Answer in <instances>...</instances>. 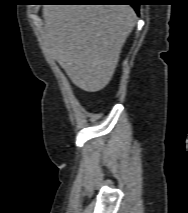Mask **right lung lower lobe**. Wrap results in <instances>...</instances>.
<instances>
[{
  "label": "right lung lower lobe",
  "mask_w": 188,
  "mask_h": 213,
  "mask_svg": "<svg viewBox=\"0 0 188 213\" xmlns=\"http://www.w3.org/2000/svg\"><path fill=\"white\" fill-rule=\"evenodd\" d=\"M52 2H92L96 4L101 3H115V2H131V0H56ZM131 6L135 9L136 12L139 11V5L132 3Z\"/></svg>",
  "instance_id": "98d812e1"
}]
</instances>
